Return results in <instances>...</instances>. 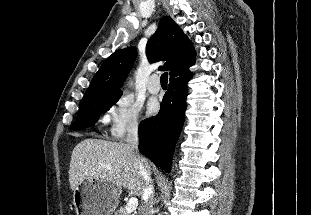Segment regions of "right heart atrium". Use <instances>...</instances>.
Segmentation results:
<instances>
[{
  "mask_svg": "<svg viewBox=\"0 0 311 215\" xmlns=\"http://www.w3.org/2000/svg\"><path fill=\"white\" fill-rule=\"evenodd\" d=\"M140 122L141 106L129 94L119 96L103 117V123L114 139L137 135Z\"/></svg>",
  "mask_w": 311,
  "mask_h": 215,
  "instance_id": "obj_1",
  "label": "right heart atrium"
}]
</instances>
